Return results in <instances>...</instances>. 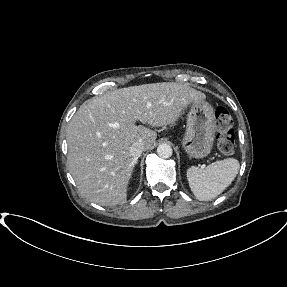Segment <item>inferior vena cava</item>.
<instances>
[{
    "mask_svg": "<svg viewBox=\"0 0 287 287\" xmlns=\"http://www.w3.org/2000/svg\"><path fill=\"white\" fill-rule=\"evenodd\" d=\"M143 151H144V145L143 143L140 142L135 143L130 147V154L135 160L141 156Z\"/></svg>",
    "mask_w": 287,
    "mask_h": 287,
    "instance_id": "602c4592",
    "label": "inferior vena cava"
}]
</instances>
